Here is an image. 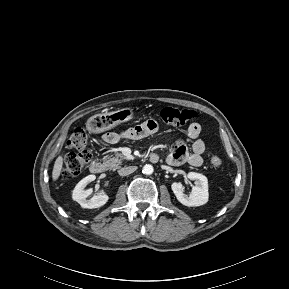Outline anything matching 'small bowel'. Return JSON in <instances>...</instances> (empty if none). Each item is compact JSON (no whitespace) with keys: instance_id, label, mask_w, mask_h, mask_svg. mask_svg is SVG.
Here are the masks:
<instances>
[{"instance_id":"c3829d8e","label":"small bowel","mask_w":289,"mask_h":289,"mask_svg":"<svg viewBox=\"0 0 289 289\" xmlns=\"http://www.w3.org/2000/svg\"><path fill=\"white\" fill-rule=\"evenodd\" d=\"M158 124L154 120H148L135 127L121 132H108L103 135V140L109 144H115L123 139L138 140L150 136L158 131ZM201 126L198 123H192L187 129V136L193 139L191 151L186 145L178 142L172 152L167 156V162L171 165H180L188 162L190 165L198 167L203 163L202 154L205 151V143L199 138Z\"/></svg>"}]
</instances>
